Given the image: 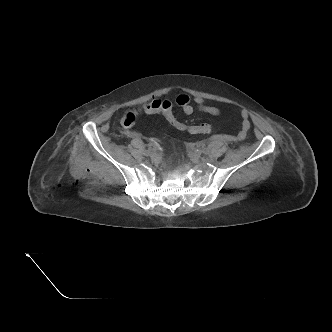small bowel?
Listing matches in <instances>:
<instances>
[{
	"instance_id": "obj_1",
	"label": "small bowel",
	"mask_w": 332,
	"mask_h": 332,
	"mask_svg": "<svg viewBox=\"0 0 332 332\" xmlns=\"http://www.w3.org/2000/svg\"><path fill=\"white\" fill-rule=\"evenodd\" d=\"M175 103L181 107L185 115H191L195 109L214 116L220 114V110L217 107L206 104L202 97L191 98L187 94H180L175 98ZM241 119L240 130L236 136L238 140L245 139L250 129L249 115L246 111L241 112Z\"/></svg>"
}]
</instances>
